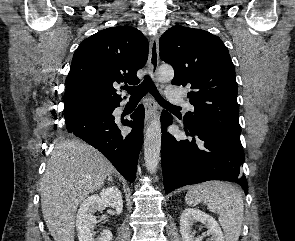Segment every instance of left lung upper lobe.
Masks as SVG:
<instances>
[{
	"mask_svg": "<svg viewBox=\"0 0 295 241\" xmlns=\"http://www.w3.org/2000/svg\"><path fill=\"white\" fill-rule=\"evenodd\" d=\"M160 57L174 68L172 84L191 85L195 107L185 125H204L240 136L235 67L221 39L184 26L168 29L159 40Z\"/></svg>",
	"mask_w": 295,
	"mask_h": 241,
	"instance_id": "1",
	"label": "left lung upper lobe"
}]
</instances>
